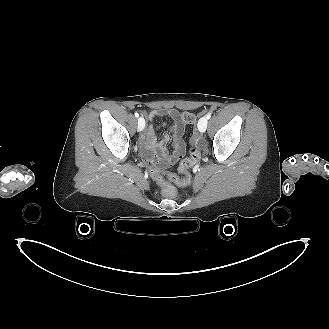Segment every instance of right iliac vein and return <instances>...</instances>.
I'll list each match as a JSON object with an SVG mask.
<instances>
[{"mask_svg": "<svg viewBox=\"0 0 329 329\" xmlns=\"http://www.w3.org/2000/svg\"><path fill=\"white\" fill-rule=\"evenodd\" d=\"M145 127V120L144 118H138V131H142Z\"/></svg>", "mask_w": 329, "mask_h": 329, "instance_id": "63e3f726", "label": "right iliac vein"}]
</instances>
